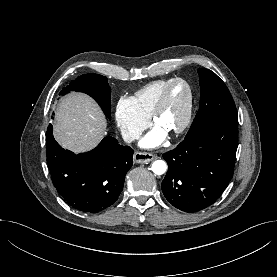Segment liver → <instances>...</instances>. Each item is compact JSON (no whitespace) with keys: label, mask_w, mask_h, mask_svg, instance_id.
I'll list each match as a JSON object with an SVG mask.
<instances>
[{"label":"liver","mask_w":277,"mask_h":277,"mask_svg":"<svg viewBox=\"0 0 277 277\" xmlns=\"http://www.w3.org/2000/svg\"><path fill=\"white\" fill-rule=\"evenodd\" d=\"M106 117L88 95L64 97L55 114L54 136L65 149L82 153L94 148L107 134Z\"/></svg>","instance_id":"6515ba94"}]
</instances>
